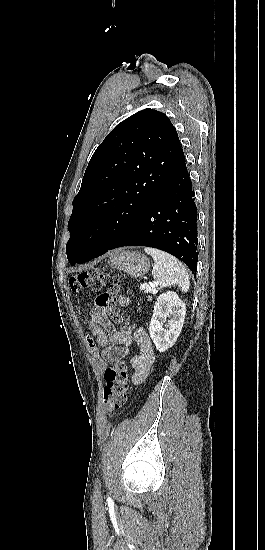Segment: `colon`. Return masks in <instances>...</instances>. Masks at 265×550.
<instances>
[{
	"label": "colon",
	"mask_w": 265,
	"mask_h": 550,
	"mask_svg": "<svg viewBox=\"0 0 265 550\" xmlns=\"http://www.w3.org/2000/svg\"><path fill=\"white\" fill-rule=\"evenodd\" d=\"M110 281L108 291L101 293L95 298V305L104 310L113 320L120 321L121 314L116 304L117 293L121 289L122 277L120 275H106L102 269L91 268L79 272L71 277L70 286L74 292L98 291ZM106 386L102 393V403L108 414L114 410L120 409L127 400V391L129 388L128 366L120 362L115 366H110L104 373Z\"/></svg>",
	"instance_id": "colon-1"
}]
</instances>
